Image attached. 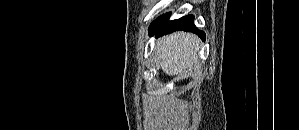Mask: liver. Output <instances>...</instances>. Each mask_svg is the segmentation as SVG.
Returning <instances> with one entry per match:
<instances>
[{"instance_id": "6515ba94", "label": "liver", "mask_w": 299, "mask_h": 130, "mask_svg": "<svg viewBox=\"0 0 299 130\" xmlns=\"http://www.w3.org/2000/svg\"><path fill=\"white\" fill-rule=\"evenodd\" d=\"M199 39L191 33L176 32L161 38L156 46V59L169 76L186 74L197 66Z\"/></svg>"}]
</instances>
